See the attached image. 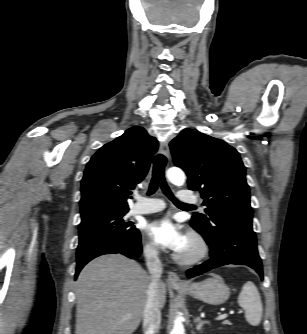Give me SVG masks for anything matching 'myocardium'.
<instances>
[{"mask_svg":"<svg viewBox=\"0 0 307 334\" xmlns=\"http://www.w3.org/2000/svg\"><path fill=\"white\" fill-rule=\"evenodd\" d=\"M187 240H189L194 250L190 254H184L181 251L174 254V259L183 265H192L204 259L209 251V246L203 235L195 230H190L187 233Z\"/></svg>","mask_w":307,"mask_h":334,"instance_id":"1","label":"myocardium"}]
</instances>
